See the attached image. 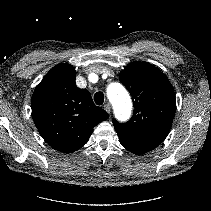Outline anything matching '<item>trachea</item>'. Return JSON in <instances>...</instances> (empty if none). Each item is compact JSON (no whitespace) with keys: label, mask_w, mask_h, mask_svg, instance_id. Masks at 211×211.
<instances>
[{"label":"trachea","mask_w":211,"mask_h":211,"mask_svg":"<svg viewBox=\"0 0 211 211\" xmlns=\"http://www.w3.org/2000/svg\"><path fill=\"white\" fill-rule=\"evenodd\" d=\"M94 101L97 105H102L104 103V94L102 92H96L94 95Z\"/></svg>","instance_id":"obj_1"}]
</instances>
